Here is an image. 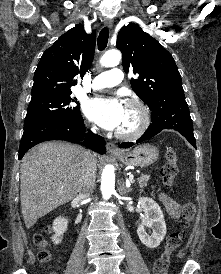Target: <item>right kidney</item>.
<instances>
[{
    "mask_svg": "<svg viewBox=\"0 0 221 274\" xmlns=\"http://www.w3.org/2000/svg\"><path fill=\"white\" fill-rule=\"evenodd\" d=\"M68 226V220L64 217H58L53 222V230L55 234L52 237V241L55 245L62 241L63 234L66 232Z\"/></svg>",
    "mask_w": 221,
    "mask_h": 274,
    "instance_id": "right-kidney-1",
    "label": "right kidney"
}]
</instances>
